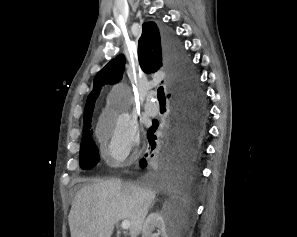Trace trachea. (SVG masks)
I'll use <instances>...</instances> for the list:
<instances>
[{"instance_id":"1","label":"trachea","mask_w":297,"mask_h":237,"mask_svg":"<svg viewBox=\"0 0 297 237\" xmlns=\"http://www.w3.org/2000/svg\"><path fill=\"white\" fill-rule=\"evenodd\" d=\"M157 95H158V100L159 101H165V93H164V90H163V87L160 86L157 90Z\"/></svg>"}]
</instances>
